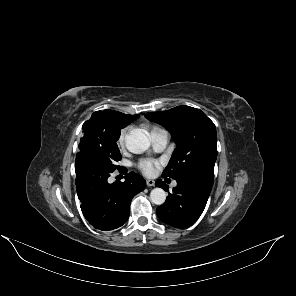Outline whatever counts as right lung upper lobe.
<instances>
[{"label":"right lung upper lobe","instance_id":"1","mask_svg":"<svg viewBox=\"0 0 296 296\" xmlns=\"http://www.w3.org/2000/svg\"><path fill=\"white\" fill-rule=\"evenodd\" d=\"M137 117L138 115H128L113 110L96 111L84 123L83 129L86 132H94L96 130L107 131L118 125L126 127Z\"/></svg>","mask_w":296,"mask_h":296}]
</instances>
